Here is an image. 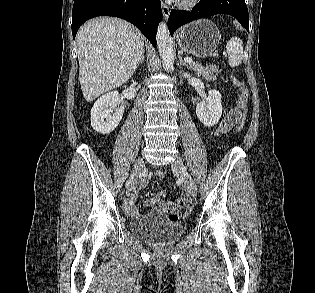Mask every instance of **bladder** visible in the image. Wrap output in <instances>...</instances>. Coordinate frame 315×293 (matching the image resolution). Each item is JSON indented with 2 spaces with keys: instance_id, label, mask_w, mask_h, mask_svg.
<instances>
[{
  "instance_id": "1",
  "label": "bladder",
  "mask_w": 315,
  "mask_h": 293,
  "mask_svg": "<svg viewBox=\"0 0 315 293\" xmlns=\"http://www.w3.org/2000/svg\"><path fill=\"white\" fill-rule=\"evenodd\" d=\"M131 231L153 246H168L178 240L185 230L182 222L161 217H139L130 222Z\"/></svg>"
}]
</instances>
